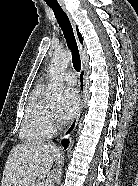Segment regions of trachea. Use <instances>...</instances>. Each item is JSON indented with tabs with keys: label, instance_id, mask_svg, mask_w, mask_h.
<instances>
[{
	"label": "trachea",
	"instance_id": "trachea-1",
	"mask_svg": "<svg viewBox=\"0 0 138 186\" xmlns=\"http://www.w3.org/2000/svg\"><path fill=\"white\" fill-rule=\"evenodd\" d=\"M46 3L54 12L55 18L63 31L67 46L71 50L74 69L79 72L81 69V59L69 18L57 1Z\"/></svg>",
	"mask_w": 138,
	"mask_h": 186
}]
</instances>
